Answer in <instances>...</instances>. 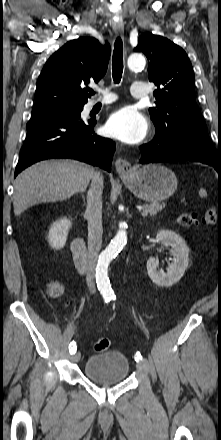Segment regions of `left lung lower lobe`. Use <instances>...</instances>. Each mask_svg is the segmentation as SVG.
Returning a JSON list of instances; mask_svg holds the SVG:
<instances>
[{"mask_svg":"<svg viewBox=\"0 0 221 440\" xmlns=\"http://www.w3.org/2000/svg\"><path fill=\"white\" fill-rule=\"evenodd\" d=\"M140 163L195 161L208 164L221 175V151L194 133H156L154 139L140 146Z\"/></svg>","mask_w":221,"mask_h":440,"instance_id":"left-lung-lower-lobe-1","label":"left lung lower lobe"}]
</instances>
